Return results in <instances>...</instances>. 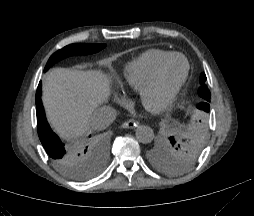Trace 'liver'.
<instances>
[{"instance_id": "obj_1", "label": "liver", "mask_w": 254, "mask_h": 216, "mask_svg": "<svg viewBox=\"0 0 254 216\" xmlns=\"http://www.w3.org/2000/svg\"><path fill=\"white\" fill-rule=\"evenodd\" d=\"M110 79L100 70L54 68L43 83L42 101L51 126L64 139L90 129L89 118L110 95Z\"/></svg>"}]
</instances>
